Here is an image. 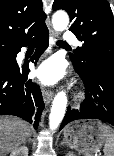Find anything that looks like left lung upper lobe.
Returning a JSON list of instances; mask_svg holds the SVG:
<instances>
[{
  "instance_id": "left-lung-upper-lobe-1",
  "label": "left lung upper lobe",
  "mask_w": 114,
  "mask_h": 156,
  "mask_svg": "<svg viewBox=\"0 0 114 156\" xmlns=\"http://www.w3.org/2000/svg\"><path fill=\"white\" fill-rule=\"evenodd\" d=\"M64 9L70 16V30L82 47L72 60L84 66L87 60L114 66V19L107 0H55L53 10Z\"/></svg>"
}]
</instances>
